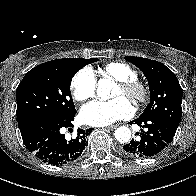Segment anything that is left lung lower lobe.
<instances>
[{
	"label": "left lung lower lobe",
	"mask_w": 196,
	"mask_h": 196,
	"mask_svg": "<svg viewBox=\"0 0 196 196\" xmlns=\"http://www.w3.org/2000/svg\"><path fill=\"white\" fill-rule=\"evenodd\" d=\"M144 128L139 137L123 146L122 153L136 158L152 157L164 150L172 141L177 127L161 117L137 118L130 124Z\"/></svg>",
	"instance_id": "0a47b994"
}]
</instances>
